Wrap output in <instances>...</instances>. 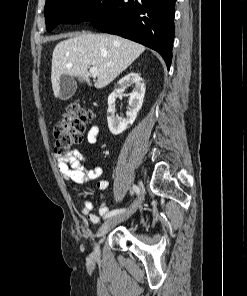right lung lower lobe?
<instances>
[{
	"label": "right lung lower lobe",
	"mask_w": 247,
	"mask_h": 296,
	"mask_svg": "<svg viewBox=\"0 0 247 296\" xmlns=\"http://www.w3.org/2000/svg\"><path fill=\"white\" fill-rule=\"evenodd\" d=\"M176 0H109L89 21L96 29L156 50L167 68L172 60Z\"/></svg>",
	"instance_id": "obj_1"
}]
</instances>
